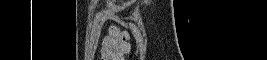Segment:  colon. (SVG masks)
<instances>
[{
    "mask_svg": "<svg viewBox=\"0 0 267 60\" xmlns=\"http://www.w3.org/2000/svg\"><path fill=\"white\" fill-rule=\"evenodd\" d=\"M128 35L120 30L111 31L104 39L102 58L121 60L130 51Z\"/></svg>",
    "mask_w": 267,
    "mask_h": 60,
    "instance_id": "1",
    "label": "colon"
}]
</instances>
